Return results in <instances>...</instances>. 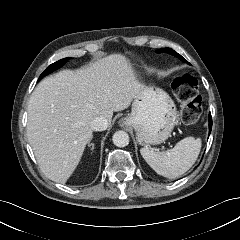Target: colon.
<instances>
[{
    "label": "colon",
    "instance_id": "colon-1",
    "mask_svg": "<svg viewBox=\"0 0 240 240\" xmlns=\"http://www.w3.org/2000/svg\"><path fill=\"white\" fill-rule=\"evenodd\" d=\"M172 89L181 104V119L185 124H195L202 111L199 97V82L189 74L176 76L172 80Z\"/></svg>",
    "mask_w": 240,
    "mask_h": 240
}]
</instances>
